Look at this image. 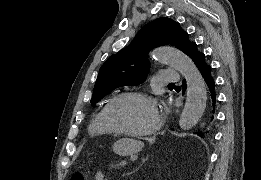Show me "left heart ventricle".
<instances>
[{
  "mask_svg": "<svg viewBox=\"0 0 261 180\" xmlns=\"http://www.w3.org/2000/svg\"><path fill=\"white\" fill-rule=\"evenodd\" d=\"M107 116L119 132L141 135L152 129L156 118V105L145 98L127 97L111 106Z\"/></svg>",
  "mask_w": 261,
  "mask_h": 180,
  "instance_id": "left-heart-ventricle-1",
  "label": "left heart ventricle"
}]
</instances>
